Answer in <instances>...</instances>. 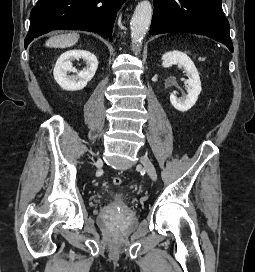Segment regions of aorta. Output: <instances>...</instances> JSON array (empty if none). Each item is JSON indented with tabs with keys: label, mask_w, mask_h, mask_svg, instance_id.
<instances>
[{
	"label": "aorta",
	"mask_w": 255,
	"mask_h": 272,
	"mask_svg": "<svg viewBox=\"0 0 255 272\" xmlns=\"http://www.w3.org/2000/svg\"><path fill=\"white\" fill-rule=\"evenodd\" d=\"M152 6L148 0H143L136 6L130 22L132 45L142 42L150 26Z\"/></svg>",
	"instance_id": "aorta-1"
}]
</instances>
